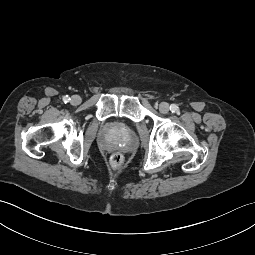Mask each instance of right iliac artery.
Returning <instances> with one entry per match:
<instances>
[{
    "instance_id": "1",
    "label": "right iliac artery",
    "mask_w": 255,
    "mask_h": 255,
    "mask_svg": "<svg viewBox=\"0 0 255 255\" xmlns=\"http://www.w3.org/2000/svg\"><path fill=\"white\" fill-rule=\"evenodd\" d=\"M70 101V97L68 95L63 97V102L68 103Z\"/></svg>"
}]
</instances>
